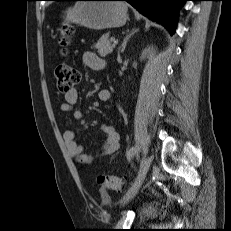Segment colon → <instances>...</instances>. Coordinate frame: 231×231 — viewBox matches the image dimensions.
<instances>
[{"label":"colon","instance_id":"obj_1","mask_svg":"<svg viewBox=\"0 0 231 231\" xmlns=\"http://www.w3.org/2000/svg\"><path fill=\"white\" fill-rule=\"evenodd\" d=\"M69 28H64L62 35L59 38V43L62 47H67L69 44ZM55 78L59 91L66 93L80 81V72L76 68L60 63L55 68ZM97 182L101 188V194L105 195L107 190L118 189L122 185V178L116 175H99Z\"/></svg>","mask_w":231,"mask_h":231}]
</instances>
